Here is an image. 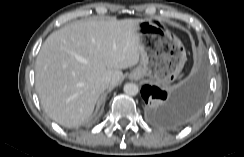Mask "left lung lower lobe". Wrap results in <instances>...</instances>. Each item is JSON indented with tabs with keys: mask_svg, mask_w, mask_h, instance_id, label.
Segmentation results:
<instances>
[{
	"mask_svg": "<svg viewBox=\"0 0 244 157\" xmlns=\"http://www.w3.org/2000/svg\"><path fill=\"white\" fill-rule=\"evenodd\" d=\"M141 95L149 105V113L154 121L169 127L183 126L199 112L205 101V70L201 68L169 94L156 86L145 85Z\"/></svg>",
	"mask_w": 244,
	"mask_h": 157,
	"instance_id": "0a47b994",
	"label": "left lung lower lobe"
}]
</instances>
